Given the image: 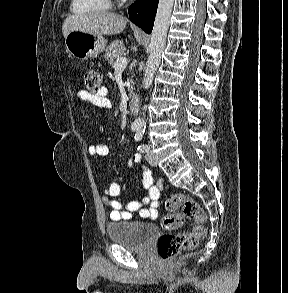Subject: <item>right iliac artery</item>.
I'll list each match as a JSON object with an SVG mask.
<instances>
[{"label":"right iliac artery","instance_id":"1","mask_svg":"<svg viewBox=\"0 0 288 293\" xmlns=\"http://www.w3.org/2000/svg\"><path fill=\"white\" fill-rule=\"evenodd\" d=\"M132 130H133V131H135V130H136V128H135V127H132Z\"/></svg>","mask_w":288,"mask_h":293}]
</instances>
